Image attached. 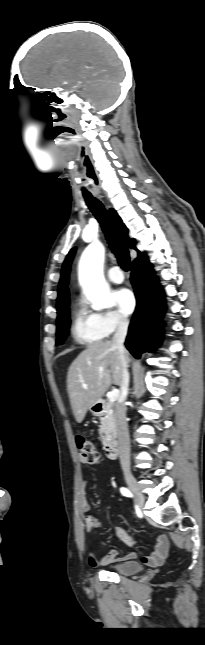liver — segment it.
<instances>
[{"instance_id": "obj_1", "label": "liver", "mask_w": 205, "mask_h": 645, "mask_svg": "<svg viewBox=\"0 0 205 645\" xmlns=\"http://www.w3.org/2000/svg\"><path fill=\"white\" fill-rule=\"evenodd\" d=\"M121 380V356L113 343L101 341L87 346L72 362L67 374V391L76 421L81 423L87 410L111 384L120 386Z\"/></svg>"}]
</instances>
